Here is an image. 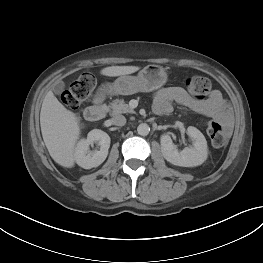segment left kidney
Listing matches in <instances>:
<instances>
[{
    "instance_id": "1",
    "label": "left kidney",
    "mask_w": 263,
    "mask_h": 263,
    "mask_svg": "<svg viewBox=\"0 0 263 263\" xmlns=\"http://www.w3.org/2000/svg\"><path fill=\"white\" fill-rule=\"evenodd\" d=\"M187 134L193 140V145L181 151L173 144L170 135L164 134L161 136L162 154L173 165L195 167L201 165L207 158V141L204 135L193 126L187 128Z\"/></svg>"
}]
</instances>
